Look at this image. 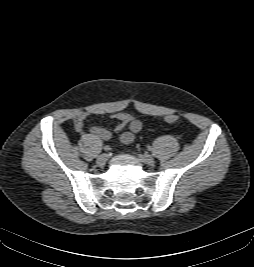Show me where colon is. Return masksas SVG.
Listing matches in <instances>:
<instances>
[{
    "mask_svg": "<svg viewBox=\"0 0 254 267\" xmlns=\"http://www.w3.org/2000/svg\"><path fill=\"white\" fill-rule=\"evenodd\" d=\"M178 120H179V117L175 114H170L165 117V121L171 124L178 122Z\"/></svg>",
    "mask_w": 254,
    "mask_h": 267,
    "instance_id": "obj_1",
    "label": "colon"
}]
</instances>
